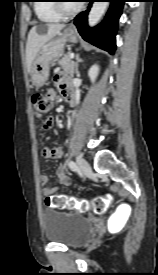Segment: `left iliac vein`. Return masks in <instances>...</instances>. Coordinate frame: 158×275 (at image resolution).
Returning <instances> with one entry per match:
<instances>
[{
    "mask_svg": "<svg viewBox=\"0 0 158 275\" xmlns=\"http://www.w3.org/2000/svg\"><path fill=\"white\" fill-rule=\"evenodd\" d=\"M77 165L79 167V170L84 174H89L91 172V167L84 158L77 157Z\"/></svg>",
    "mask_w": 158,
    "mask_h": 275,
    "instance_id": "left-iliac-vein-1",
    "label": "left iliac vein"
}]
</instances>
